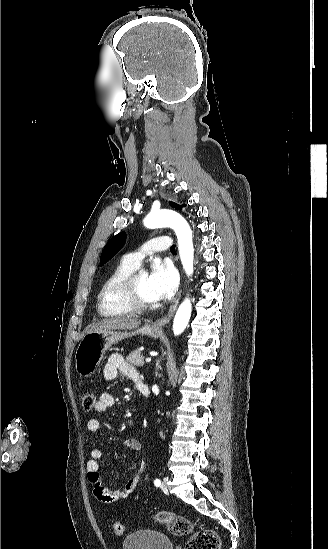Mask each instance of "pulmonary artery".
<instances>
[{
  "label": "pulmonary artery",
  "instance_id": "e3ab8cb5",
  "mask_svg": "<svg viewBox=\"0 0 328 549\" xmlns=\"http://www.w3.org/2000/svg\"><path fill=\"white\" fill-rule=\"evenodd\" d=\"M174 241L171 237H152L150 241H146L142 246H136L134 252L129 254L134 262H141L147 252H163L165 248H171Z\"/></svg>",
  "mask_w": 328,
  "mask_h": 549
}]
</instances>
